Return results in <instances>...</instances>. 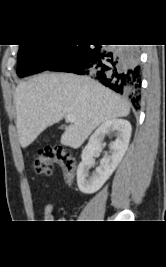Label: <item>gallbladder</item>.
<instances>
[{"instance_id":"gallbladder-1","label":"gallbladder","mask_w":166,"mask_h":267,"mask_svg":"<svg viewBox=\"0 0 166 267\" xmlns=\"http://www.w3.org/2000/svg\"><path fill=\"white\" fill-rule=\"evenodd\" d=\"M60 128H61V129H63V128H64V126H61Z\"/></svg>"}]
</instances>
